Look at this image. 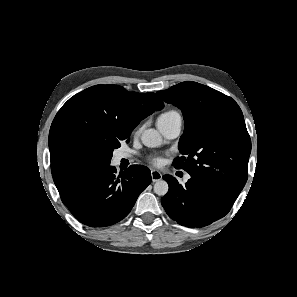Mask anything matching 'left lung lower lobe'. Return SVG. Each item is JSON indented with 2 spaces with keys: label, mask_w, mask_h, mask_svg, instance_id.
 I'll return each instance as SVG.
<instances>
[{
  "label": "left lung lower lobe",
  "mask_w": 297,
  "mask_h": 297,
  "mask_svg": "<svg viewBox=\"0 0 297 297\" xmlns=\"http://www.w3.org/2000/svg\"><path fill=\"white\" fill-rule=\"evenodd\" d=\"M169 184L168 193L161 199L170 218L180 225L203 227L224 217L235 197L208 182L191 177L182 186L171 175L163 176Z\"/></svg>",
  "instance_id": "1"
}]
</instances>
